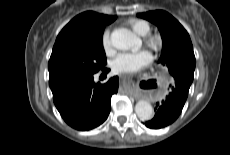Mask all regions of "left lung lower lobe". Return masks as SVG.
I'll return each mask as SVG.
<instances>
[{"instance_id":"obj_1","label":"left lung lower lobe","mask_w":230,"mask_h":155,"mask_svg":"<svg viewBox=\"0 0 230 155\" xmlns=\"http://www.w3.org/2000/svg\"><path fill=\"white\" fill-rule=\"evenodd\" d=\"M170 84V93L162 102L156 104L154 118L145 125L151 129H159L173 123L180 115L188 96L191 83L183 79H174Z\"/></svg>"}]
</instances>
